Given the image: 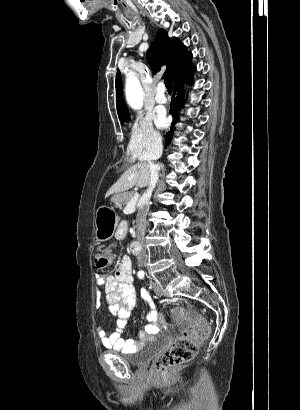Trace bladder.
I'll return each mask as SVG.
<instances>
[{"label":"bladder","instance_id":"bladder-1","mask_svg":"<svg viewBox=\"0 0 300 410\" xmlns=\"http://www.w3.org/2000/svg\"><path fill=\"white\" fill-rule=\"evenodd\" d=\"M156 345H147L138 349L132 355L122 356V360L135 367L146 366L157 353Z\"/></svg>","mask_w":300,"mask_h":410}]
</instances>
